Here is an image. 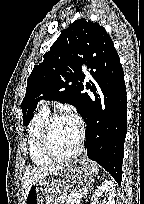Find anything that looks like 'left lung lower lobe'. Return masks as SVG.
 <instances>
[{"mask_svg": "<svg viewBox=\"0 0 144 204\" xmlns=\"http://www.w3.org/2000/svg\"><path fill=\"white\" fill-rule=\"evenodd\" d=\"M92 81L83 93L82 117L87 124V156L106 169L120 185L127 131L124 72L119 59L112 68L89 67Z\"/></svg>", "mask_w": 144, "mask_h": 204, "instance_id": "obj_1", "label": "left lung lower lobe"}]
</instances>
